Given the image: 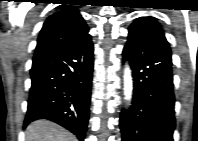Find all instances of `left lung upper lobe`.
I'll return each instance as SVG.
<instances>
[{"label":"left lung upper lobe","instance_id":"left-lung-upper-lobe-1","mask_svg":"<svg viewBox=\"0 0 198 141\" xmlns=\"http://www.w3.org/2000/svg\"><path fill=\"white\" fill-rule=\"evenodd\" d=\"M129 35L167 42L160 24L153 17L137 18L129 27Z\"/></svg>","mask_w":198,"mask_h":141}]
</instances>
